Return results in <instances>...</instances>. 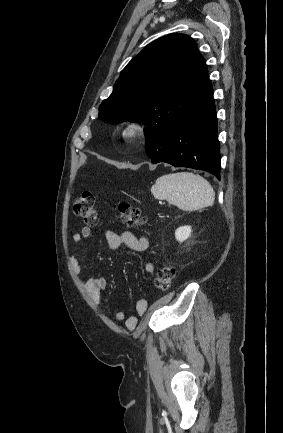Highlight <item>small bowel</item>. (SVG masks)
Returning a JSON list of instances; mask_svg holds the SVG:
<instances>
[{
    "label": "small bowel",
    "mask_w": 283,
    "mask_h": 433,
    "mask_svg": "<svg viewBox=\"0 0 283 433\" xmlns=\"http://www.w3.org/2000/svg\"><path fill=\"white\" fill-rule=\"evenodd\" d=\"M92 229L89 226H84L80 231L76 232L73 235V241L76 245H79L84 239L91 237ZM105 239L108 246L111 249H119L123 246L128 247L132 250L142 252L147 250L149 246L148 239L144 236L136 237L132 232L125 230L121 233L114 232L112 230H108L105 233ZM71 263L74 271L77 274H82L83 267L80 265L79 260L76 255L72 256ZM155 267L152 263H147L145 265V272L149 275L154 273ZM83 287L89 293L91 298L99 303L101 300V295L103 290L106 288L107 280L103 277L94 278L89 276L82 282ZM148 303L145 299H140L136 303V312L138 315H143L147 310ZM116 319L122 320L125 323V326L128 330H134L138 318L136 316L126 317L123 312L116 313Z\"/></svg>",
    "instance_id": "obj_1"
}]
</instances>
